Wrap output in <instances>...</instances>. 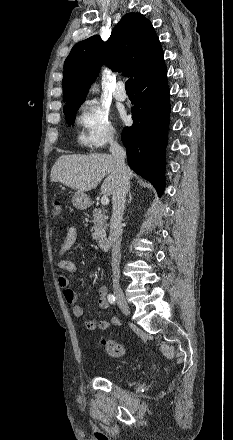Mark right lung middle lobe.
Returning a JSON list of instances; mask_svg holds the SVG:
<instances>
[{
    "label": "right lung middle lobe",
    "mask_w": 233,
    "mask_h": 440,
    "mask_svg": "<svg viewBox=\"0 0 233 440\" xmlns=\"http://www.w3.org/2000/svg\"><path fill=\"white\" fill-rule=\"evenodd\" d=\"M80 105H81V103L80 104H76V105H72V106H68V107L64 108L63 111H64L66 120H67L69 125L70 124H72V125L74 124V120H75V117H76V111L80 107Z\"/></svg>",
    "instance_id": "1"
}]
</instances>
